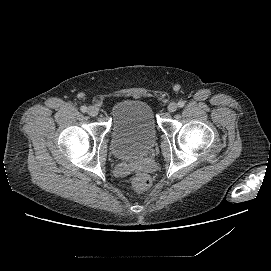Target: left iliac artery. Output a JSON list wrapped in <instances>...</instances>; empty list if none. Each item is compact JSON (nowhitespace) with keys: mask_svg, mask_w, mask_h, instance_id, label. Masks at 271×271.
I'll return each instance as SVG.
<instances>
[{"mask_svg":"<svg viewBox=\"0 0 271 271\" xmlns=\"http://www.w3.org/2000/svg\"><path fill=\"white\" fill-rule=\"evenodd\" d=\"M177 105H178L180 108H181V107H184L185 102H184V101H179Z\"/></svg>","mask_w":271,"mask_h":271,"instance_id":"left-iliac-artery-1","label":"left iliac artery"}]
</instances>
